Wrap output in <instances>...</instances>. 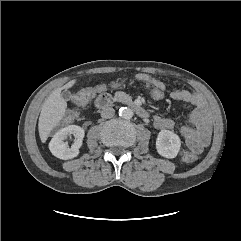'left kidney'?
Masks as SVG:
<instances>
[{"instance_id":"5707ae66","label":"left kidney","mask_w":241,"mask_h":241,"mask_svg":"<svg viewBox=\"0 0 241 241\" xmlns=\"http://www.w3.org/2000/svg\"><path fill=\"white\" fill-rule=\"evenodd\" d=\"M181 141L177 134L161 130L156 139L157 152L165 158H175L180 150Z\"/></svg>"}]
</instances>
